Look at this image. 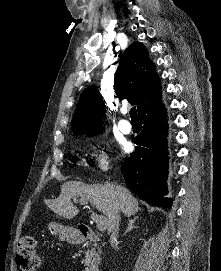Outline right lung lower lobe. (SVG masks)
Segmentation results:
<instances>
[{
  "instance_id": "98d812e1",
  "label": "right lung lower lobe",
  "mask_w": 221,
  "mask_h": 271,
  "mask_svg": "<svg viewBox=\"0 0 221 271\" xmlns=\"http://www.w3.org/2000/svg\"><path fill=\"white\" fill-rule=\"evenodd\" d=\"M165 108L160 104L140 116L141 133L133 139L138 146L122 164L127 186L143 200L170 208L166 197L168 176L167 124Z\"/></svg>"
}]
</instances>
